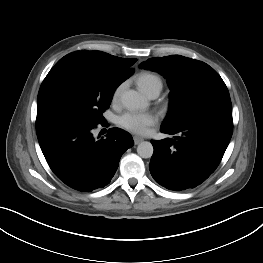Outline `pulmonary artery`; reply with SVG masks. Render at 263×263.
<instances>
[{
	"instance_id": "e3ab8cb5",
	"label": "pulmonary artery",
	"mask_w": 263,
	"mask_h": 263,
	"mask_svg": "<svg viewBox=\"0 0 263 263\" xmlns=\"http://www.w3.org/2000/svg\"><path fill=\"white\" fill-rule=\"evenodd\" d=\"M161 89H162V85L160 84H155L151 87H149L145 93L147 94V96L149 98H152V99H155L159 96L160 92H161Z\"/></svg>"
}]
</instances>
